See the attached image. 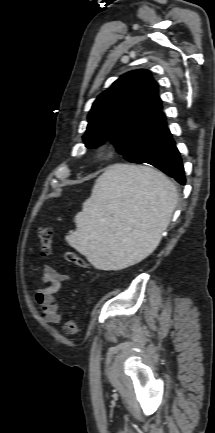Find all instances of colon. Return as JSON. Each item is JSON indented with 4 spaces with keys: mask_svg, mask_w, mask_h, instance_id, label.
<instances>
[{
    "mask_svg": "<svg viewBox=\"0 0 215 433\" xmlns=\"http://www.w3.org/2000/svg\"><path fill=\"white\" fill-rule=\"evenodd\" d=\"M37 236L39 239L41 253L44 256H48L52 250V236L53 232L51 227L43 225L38 228ZM65 258L68 262L75 264L79 267H86L87 264L85 260L77 253L73 251H68L65 254ZM80 323L76 320H68L64 323L63 330L67 336H74L80 332Z\"/></svg>",
    "mask_w": 215,
    "mask_h": 433,
    "instance_id": "obj_1",
    "label": "colon"
}]
</instances>
